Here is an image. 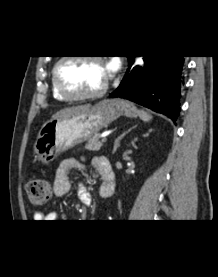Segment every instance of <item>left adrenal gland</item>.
Masks as SVG:
<instances>
[{
  "mask_svg": "<svg viewBox=\"0 0 218 277\" xmlns=\"http://www.w3.org/2000/svg\"><path fill=\"white\" fill-rule=\"evenodd\" d=\"M136 128V126L128 129L127 131H125L123 134H121L120 136H118L114 142V148H113V154L117 151V149L120 147V141L122 140V138L129 133L132 129ZM152 131V129L149 130V132Z\"/></svg>",
  "mask_w": 218,
  "mask_h": 277,
  "instance_id": "1",
  "label": "left adrenal gland"
}]
</instances>
